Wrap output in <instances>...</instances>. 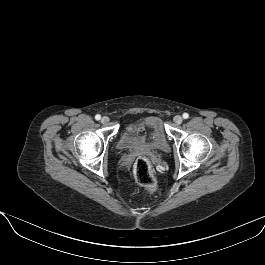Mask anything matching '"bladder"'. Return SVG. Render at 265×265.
Masks as SVG:
<instances>
[{"mask_svg":"<svg viewBox=\"0 0 265 265\" xmlns=\"http://www.w3.org/2000/svg\"><path fill=\"white\" fill-rule=\"evenodd\" d=\"M144 128L154 132V135L144 138L142 136ZM164 143L161 120L156 116H149L140 122L129 124L122 132L118 146L121 149H131L146 146L158 147Z\"/></svg>","mask_w":265,"mask_h":265,"instance_id":"bladder-1","label":"bladder"}]
</instances>
